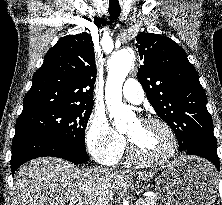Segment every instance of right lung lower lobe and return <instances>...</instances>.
<instances>
[{"instance_id":"obj_1","label":"right lung lower lobe","mask_w":222,"mask_h":205,"mask_svg":"<svg viewBox=\"0 0 222 205\" xmlns=\"http://www.w3.org/2000/svg\"><path fill=\"white\" fill-rule=\"evenodd\" d=\"M43 156L66 159L81 164L88 160L87 152L81 148L40 133H18L12 142V174L23 163Z\"/></svg>"}]
</instances>
